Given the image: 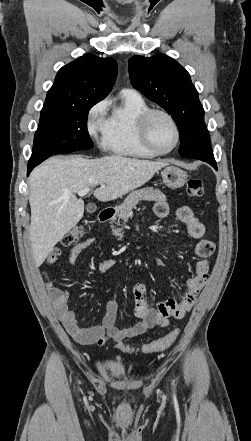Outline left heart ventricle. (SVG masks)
<instances>
[{
    "mask_svg": "<svg viewBox=\"0 0 251 441\" xmlns=\"http://www.w3.org/2000/svg\"><path fill=\"white\" fill-rule=\"evenodd\" d=\"M150 137L155 147L166 151L175 143V131L163 115H155L150 124Z\"/></svg>",
    "mask_w": 251,
    "mask_h": 441,
    "instance_id": "left-heart-ventricle-1",
    "label": "left heart ventricle"
}]
</instances>
